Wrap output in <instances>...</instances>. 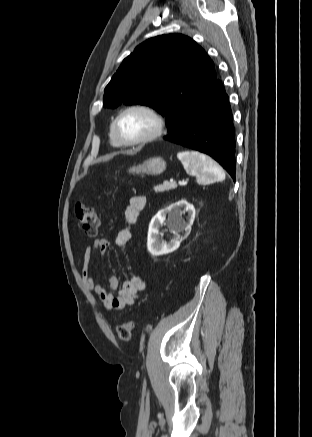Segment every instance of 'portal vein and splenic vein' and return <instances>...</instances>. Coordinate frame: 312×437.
<instances>
[{
  "instance_id": "18ae733b",
  "label": "portal vein and splenic vein",
  "mask_w": 312,
  "mask_h": 437,
  "mask_svg": "<svg viewBox=\"0 0 312 437\" xmlns=\"http://www.w3.org/2000/svg\"><path fill=\"white\" fill-rule=\"evenodd\" d=\"M179 184L180 185H185V184H187V180H181V181H179Z\"/></svg>"
}]
</instances>
